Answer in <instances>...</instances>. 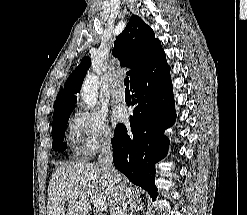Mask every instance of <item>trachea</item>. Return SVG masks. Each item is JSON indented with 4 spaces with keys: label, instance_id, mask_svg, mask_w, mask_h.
Returning <instances> with one entry per match:
<instances>
[{
    "label": "trachea",
    "instance_id": "3493384b",
    "mask_svg": "<svg viewBox=\"0 0 247 215\" xmlns=\"http://www.w3.org/2000/svg\"><path fill=\"white\" fill-rule=\"evenodd\" d=\"M124 85L126 86V90H129V78L128 77L124 79Z\"/></svg>",
    "mask_w": 247,
    "mask_h": 215
}]
</instances>
